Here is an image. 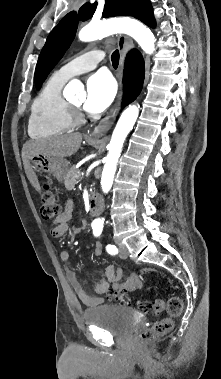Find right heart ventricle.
Here are the masks:
<instances>
[{
  "mask_svg": "<svg viewBox=\"0 0 221 379\" xmlns=\"http://www.w3.org/2000/svg\"><path fill=\"white\" fill-rule=\"evenodd\" d=\"M66 81L67 79L54 73L33 99L28 118L30 137H53L73 127L68 101L62 95Z\"/></svg>",
  "mask_w": 221,
  "mask_h": 379,
  "instance_id": "e07e8e85",
  "label": "right heart ventricle"
}]
</instances>
